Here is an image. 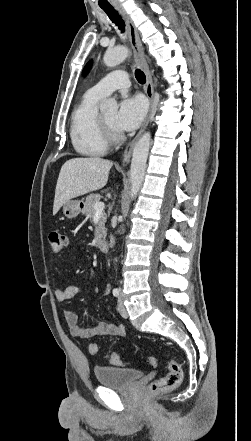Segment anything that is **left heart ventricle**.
I'll list each match as a JSON object with an SVG mask.
<instances>
[{
	"label": "left heart ventricle",
	"instance_id": "left-heart-ventricle-1",
	"mask_svg": "<svg viewBox=\"0 0 251 441\" xmlns=\"http://www.w3.org/2000/svg\"><path fill=\"white\" fill-rule=\"evenodd\" d=\"M116 115H117V113L115 111H112V112H109V113L102 115L104 120L106 121V123L115 131H117L114 126Z\"/></svg>",
	"mask_w": 251,
	"mask_h": 441
}]
</instances>
